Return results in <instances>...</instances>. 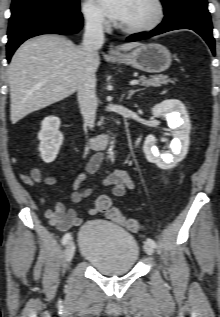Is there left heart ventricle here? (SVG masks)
I'll use <instances>...</instances> for the list:
<instances>
[{
	"mask_svg": "<svg viewBox=\"0 0 220 317\" xmlns=\"http://www.w3.org/2000/svg\"><path fill=\"white\" fill-rule=\"evenodd\" d=\"M155 7L151 0H131L128 14L122 25L138 26L153 19Z\"/></svg>",
	"mask_w": 220,
	"mask_h": 317,
	"instance_id": "left-heart-ventricle-1",
	"label": "left heart ventricle"
}]
</instances>
